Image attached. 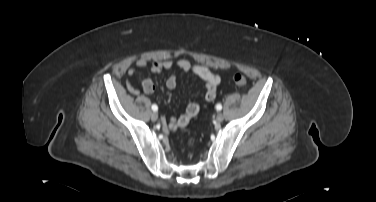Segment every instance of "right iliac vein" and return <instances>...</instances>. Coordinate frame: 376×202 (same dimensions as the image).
<instances>
[{
	"mask_svg": "<svg viewBox=\"0 0 376 202\" xmlns=\"http://www.w3.org/2000/svg\"><path fill=\"white\" fill-rule=\"evenodd\" d=\"M158 119V114L156 113V112H153L152 114H151V120L152 121H156Z\"/></svg>",
	"mask_w": 376,
	"mask_h": 202,
	"instance_id": "obj_1",
	"label": "right iliac vein"
}]
</instances>
